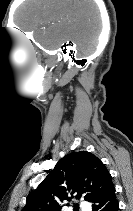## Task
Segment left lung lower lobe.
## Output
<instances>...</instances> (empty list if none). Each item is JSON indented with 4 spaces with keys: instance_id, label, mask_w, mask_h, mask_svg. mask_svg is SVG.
<instances>
[{
    "instance_id": "left-lung-lower-lobe-1",
    "label": "left lung lower lobe",
    "mask_w": 133,
    "mask_h": 211,
    "mask_svg": "<svg viewBox=\"0 0 133 211\" xmlns=\"http://www.w3.org/2000/svg\"><path fill=\"white\" fill-rule=\"evenodd\" d=\"M93 211H118L119 204L116 197L114 185L93 204Z\"/></svg>"
}]
</instances>
